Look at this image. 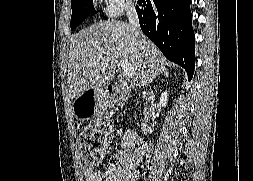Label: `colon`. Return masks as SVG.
<instances>
[{
  "mask_svg": "<svg viewBox=\"0 0 253 181\" xmlns=\"http://www.w3.org/2000/svg\"><path fill=\"white\" fill-rule=\"evenodd\" d=\"M108 135L106 124L88 126L80 133L81 156L87 167L93 168L99 164L108 146Z\"/></svg>",
  "mask_w": 253,
  "mask_h": 181,
  "instance_id": "5ec220e1",
  "label": "colon"
}]
</instances>
